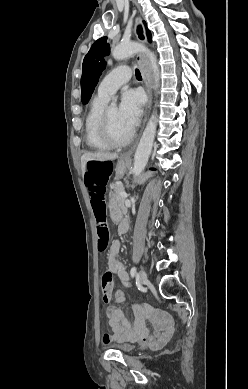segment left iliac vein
Wrapping results in <instances>:
<instances>
[{"mask_svg": "<svg viewBox=\"0 0 248 389\" xmlns=\"http://www.w3.org/2000/svg\"><path fill=\"white\" fill-rule=\"evenodd\" d=\"M138 280L141 284H146L147 283V274L144 270H141L138 274Z\"/></svg>", "mask_w": 248, "mask_h": 389, "instance_id": "obj_1", "label": "left iliac vein"}]
</instances>
